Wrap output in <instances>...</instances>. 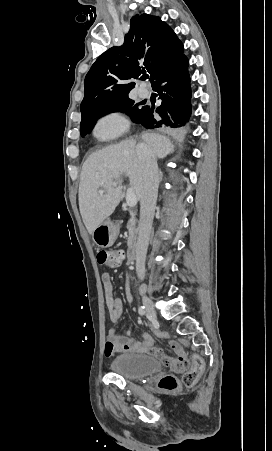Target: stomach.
I'll list each match as a JSON object with an SVG mask.
<instances>
[{"instance_id": "1", "label": "stomach", "mask_w": 272, "mask_h": 451, "mask_svg": "<svg viewBox=\"0 0 272 451\" xmlns=\"http://www.w3.org/2000/svg\"><path fill=\"white\" fill-rule=\"evenodd\" d=\"M118 229L112 222H102L95 227L92 233V239L98 247H110L117 239Z\"/></svg>"}]
</instances>
